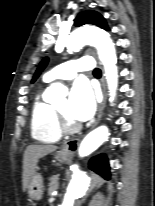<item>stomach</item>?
Masks as SVG:
<instances>
[{"label": "stomach", "instance_id": "stomach-1", "mask_svg": "<svg viewBox=\"0 0 155 206\" xmlns=\"http://www.w3.org/2000/svg\"><path fill=\"white\" fill-rule=\"evenodd\" d=\"M57 158L61 162H68L71 158L70 153L64 151H58ZM28 195L32 200L38 201L43 195V179L39 173H34L28 184Z\"/></svg>", "mask_w": 155, "mask_h": 206}]
</instances>
